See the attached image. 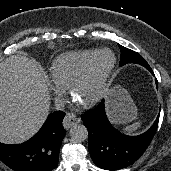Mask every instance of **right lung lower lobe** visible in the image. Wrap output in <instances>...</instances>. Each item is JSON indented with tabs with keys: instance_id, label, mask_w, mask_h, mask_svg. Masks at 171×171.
Returning <instances> with one entry per match:
<instances>
[{
	"instance_id": "98d812e1",
	"label": "right lung lower lobe",
	"mask_w": 171,
	"mask_h": 171,
	"mask_svg": "<svg viewBox=\"0 0 171 171\" xmlns=\"http://www.w3.org/2000/svg\"><path fill=\"white\" fill-rule=\"evenodd\" d=\"M64 112L51 113L39 132L22 144L0 143V160L15 171H52L66 130L61 125Z\"/></svg>"
}]
</instances>
